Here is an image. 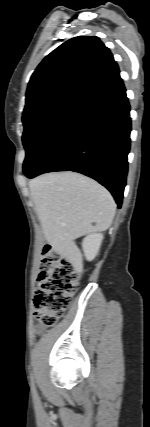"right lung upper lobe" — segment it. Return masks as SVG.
I'll return each mask as SVG.
<instances>
[{
    "label": "right lung upper lobe",
    "mask_w": 150,
    "mask_h": 427,
    "mask_svg": "<svg viewBox=\"0 0 150 427\" xmlns=\"http://www.w3.org/2000/svg\"><path fill=\"white\" fill-rule=\"evenodd\" d=\"M121 80L110 50L96 36L72 38L52 51L31 76L23 115L44 106H81Z\"/></svg>",
    "instance_id": "1"
}]
</instances>
